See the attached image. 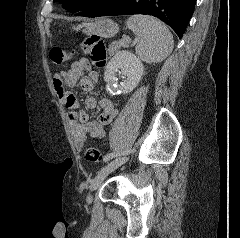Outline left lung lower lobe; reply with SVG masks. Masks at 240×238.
<instances>
[{
	"instance_id": "1",
	"label": "left lung lower lobe",
	"mask_w": 240,
	"mask_h": 238,
	"mask_svg": "<svg viewBox=\"0 0 240 238\" xmlns=\"http://www.w3.org/2000/svg\"><path fill=\"white\" fill-rule=\"evenodd\" d=\"M196 0H93L78 16L100 17L145 14L167 23L182 38Z\"/></svg>"
}]
</instances>
